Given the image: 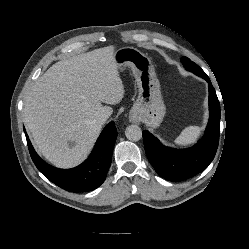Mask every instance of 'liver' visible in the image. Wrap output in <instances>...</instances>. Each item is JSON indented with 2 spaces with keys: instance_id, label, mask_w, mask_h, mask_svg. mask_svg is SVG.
<instances>
[{
  "instance_id": "6515ba94",
  "label": "liver",
  "mask_w": 249,
  "mask_h": 249,
  "mask_svg": "<svg viewBox=\"0 0 249 249\" xmlns=\"http://www.w3.org/2000/svg\"><path fill=\"white\" fill-rule=\"evenodd\" d=\"M113 46L52 65L28 92L24 122L38 151L54 166L83 162L99 136L98 116L112 114L124 96Z\"/></svg>"
}]
</instances>
